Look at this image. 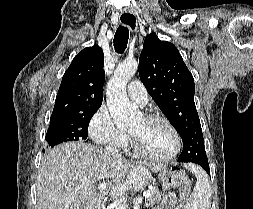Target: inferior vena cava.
Segmentation results:
<instances>
[{"label":"inferior vena cava","instance_id":"1","mask_svg":"<svg viewBox=\"0 0 253 209\" xmlns=\"http://www.w3.org/2000/svg\"><path fill=\"white\" fill-rule=\"evenodd\" d=\"M106 152L109 156L116 158V159H122V155L119 152V150L114 145H108L106 148Z\"/></svg>","mask_w":253,"mask_h":209}]
</instances>
